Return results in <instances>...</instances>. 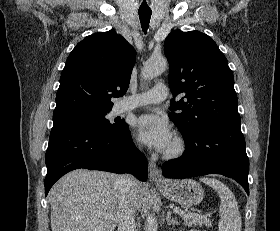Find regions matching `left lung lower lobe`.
Wrapping results in <instances>:
<instances>
[{
	"label": "left lung lower lobe",
	"mask_w": 280,
	"mask_h": 231,
	"mask_svg": "<svg viewBox=\"0 0 280 231\" xmlns=\"http://www.w3.org/2000/svg\"><path fill=\"white\" fill-rule=\"evenodd\" d=\"M185 152L162 166L167 178L222 174L236 180L249 195V160L240 124H215L185 135Z\"/></svg>",
	"instance_id": "1"
}]
</instances>
